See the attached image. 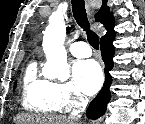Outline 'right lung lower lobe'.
Listing matches in <instances>:
<instances>
[{
    "label": "right lung lower lobe",
    "mask_w": 145,
    "mask_h": 124,
    "mask_svg": "<svg viewBox=\"0 0 145 124\" xmlns=\"http://www.w3.org/2000/svg\"><path fill=\"white\" fill-rule=\"evenodd\" d=\"M115 38L114 30L106 33L101 38V54L102 59L105 63V82L103 88L98 93V95L94 98V100L90 103L87 109V116L90 119H97L102 116L106 110L107 104L111 99V93L109 91V87L112 83V77L109 71L113 68V55H114V47L112 42Z\"/></svg>",
    "instance_id": "98d812e1"
}]
</instances>
